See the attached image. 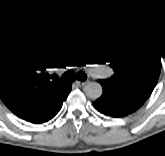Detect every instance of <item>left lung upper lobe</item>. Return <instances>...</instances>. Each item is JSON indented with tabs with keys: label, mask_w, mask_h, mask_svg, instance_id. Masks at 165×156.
<instances>
[{
	"label": "left lung upper lobe",
	"mask_w": 165,
	"mask_h": 156,
	"mask_svg": "<svg viewBox=\"0 0 165 156\" xmlns=\"http://www.w3.org/2000/svg\"><path fill=\"white\" fill-rule=\"evenodd\" d=\"M94 47L114 70L107 80L145 102L160 75L162 49L136 28L116 24L104 25L97 31Z\"/></svg>",
	"instance_id": "1"
}]
</instances>
